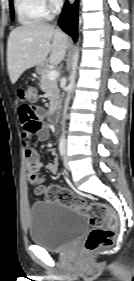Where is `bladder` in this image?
<instances>
[{"mask_svg": "<svg viewBox=\"0 0 134 281\" xmlns=\"http://www.w3.org/2000/svg\"><path fill=\"white\" fill-rule=\"evenodd\" d=\"M87 228V218L70 206L41 201L30 207L29 237L47 250H63Z\"/></svg>", "mask_w": 134, "mask_h": 281, "instance_id": "31cf9c89", "label": "bladder"}]
</instances>
